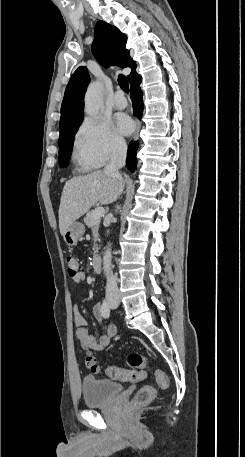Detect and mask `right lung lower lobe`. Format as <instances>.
<instances>
[{"instance_id":"right-lung-lower-lobe-1","label":"right lung lower lobe","mask_w":245,"mask_h":457,"mask_svg":"<svg viewBox=\"0 0 245 457\" xmlns=\"http://www.w3.org/2000/svg\"><path fill=\"white\" fill-rule=\"evenodd\" d=\"M141 83V76L133 79L131 84V99L133 103V109L135 115L140 119L143 112V100H142V91L140 89ZM138 142L131 141L127 151V159L126 164L130 171H134L136 169L137 160H136V152L138 148Z\"/></svg>"}]
</instances>
